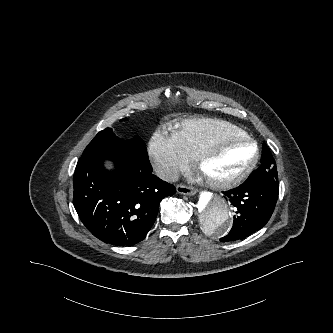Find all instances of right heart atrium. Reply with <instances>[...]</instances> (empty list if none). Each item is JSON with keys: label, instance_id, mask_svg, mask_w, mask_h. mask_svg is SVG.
Returning a JSON list of instances; mask_svg holds the SVG:
<instances>
[{"label": "right heart atrium", "instance_id": "1", "mask_svg": "<svg viewBox=\"0 0 333 333\" xmlns=\"http://www.w3.org/2000/svg\"><path fill=\"white\" fill-rule=\"evenodd\" d=\"M148 155L154 171L165 181L175 180L190 164V159L180 150L173 137L160 130L149 141Z\"/></svg>", "mask_w": 333, "mask_h": 333}]
</instances>
